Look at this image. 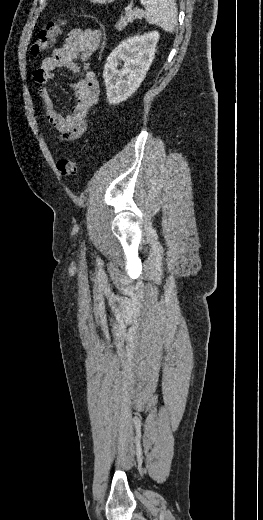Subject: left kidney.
Masks as SVG:
<instances>
[{
  "label": "left kidney",
  "instance_id": "1",
  "mask_svg": "<svg viewBox=\"0 0 263 520\" xmlns=\"http://www.w3.org/2000/svg\"><path fill=\"white\" fill-rule=\"evenodd\" d=\"M159 33L152 31L124 40L107 58L103 78L109 104H119L141 85L155 56ZM124 62L118 70L120 62Z\"/></svg>",
  "mask_w": 263,
  "mask_h": 520
}]
</instances>
